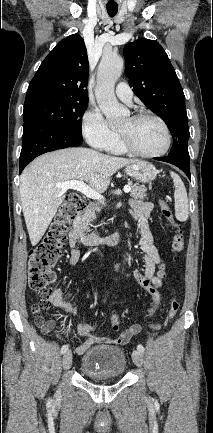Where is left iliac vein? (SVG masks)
<instances>
[{
    "mask_svg": "<svg viewBox=\"0 0 213 433\" xmlns=\"http://www.w3.org/2000/svg\"><path fill=\"white\" fill-rule=\"evenodd\" d=\"M132 359L135 365L141 367L143 364V354L139 350H134L132 353Z\"/></svg>",
    "mask_w": 213,
    "mask_h": 433,
    "instance_id": "4c4485c4",
    "label": "left iliac vein"
}]
</instances>
